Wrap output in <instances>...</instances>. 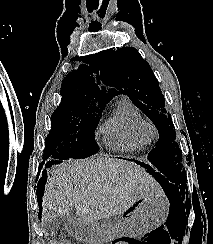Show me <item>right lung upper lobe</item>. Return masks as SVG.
I'll return each instance as SVG.
<instances>
[{
    "label": "right lung upper lobe",
    "mask_w": 213,
    "mask_h": 244,
    "mask_svg": "<svg viewBox=\"0 0 213 244\" xmlns=\"http://www.w3.org/2000/svg\"><path fill=\"white\" fill-rule=\"evenodd\" d=\"M96 68L90 64L80 65L63 79L61 86V104L57 108L83 106L103 110L109 102L95 84L93 73Z\"/></svg>",
    "instance_id": "1"
}]
</instances>
